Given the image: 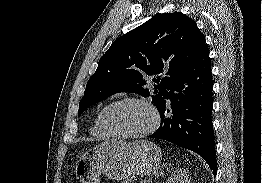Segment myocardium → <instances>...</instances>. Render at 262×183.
I'll return each instance as SVG.
<instances>
[{"label":"myocardium","instance_id":"obj_1","mask_svg":"<svg viewBox=\"0 0 262 183\" xmlns=\"http://www.w3.org/2000/svg\"><path fill=\"white\" fill-rule=\"evenodd\" d=\"M125 103H138V104H142L144 106H146L152 113L153 116V122L151 124V126L141 132V133H136V134H119L114 132L113 130H111L106 122V115L107 113L114 107L118 106V105H122ZM100 126L102 128V130L109 136L112 138H116V139H142L145 138L151 134H153L159 127L160 125V114L157 110V108L155 107V105L144 98H139V97H125V98H121L119 100L113 101L111 103H109L108 105H106L101 113H100Z\"/></svg>","mask_w":262,"mask_h":183}]
</instances>
